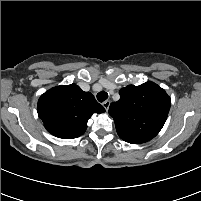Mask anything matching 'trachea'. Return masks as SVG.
Returning a JSON list of instances; mask_svg holds the SVG:
<instances>
[{
	"instance_id": "trachea-1",
	"label": "trachea",
	"mask_w": 201,
	"mask_h": 201,
	"mask_svg": "<svg viewBox=\"0 0 201 201\" xmlns=\"http://www.w3.org/2000/svg\"><path fill=\"white\" fill-rule=\"evenodd\" d=\"M108 98V94H107V92H105V91H101V92H99L98 94H97V100L99 101V102H103V101H105L106 99Z\"/></svg>"
}]
</instances>
